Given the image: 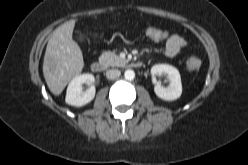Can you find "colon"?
Here are the masks:
<instances>
[{
	"label": "colon",
	"mask_w": 248,
	"mask_h": 165,
	"mask_svg": "<svg viewBox=\"0 0 248 165\" xmlns=\"http://www.w3.org/2000/svg\"><path fill=\"white\" fill-rule=\"evenodd\" d=\"M145 33H147L150 39L156 41L163 40L167 37V32L156 28H147ZM200 66L201 60L196 57H191L186 62V67L190 71H196L200 68Z\"/></svg>",
	"instance_id": "5ec220e1"
}]
</instances>
